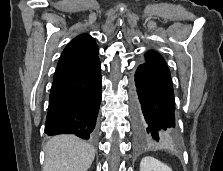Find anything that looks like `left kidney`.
<instances>
[{"mask_svg": "<svg viewBox=\"0 0 223 171\" xmlns=\"http://www.w3.org/2000/svg\"><path fill=\"white\" fill-rule=\"evenodd\" d=\"M140 171H172V169L159 160L146 156L141 160Z\"/></svg>", "mask_w": 223, "mask_h": 171, "instance_id": "obj_1", "label": "left kidney"}]
</instances>
